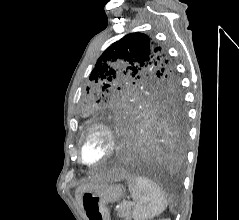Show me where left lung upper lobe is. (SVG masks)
I'll return each instance as SVG.
<instances>
[{"instance_id": "obj_1", "label": "left lung upper lobe", "mask_w": 239, "mask_h": 220, "mask_svg": "<svg viewBox=\"0 0 239 220\" xmlns=\"http://www.w3.org/2000/svg\"><path fill=\"white\" fill-rule=\"evenodd\" d=\"M80 105L85 119L106 112H184L177 70L166 50L143 33H130L97 60Z\"/></svg>"}]
</instances>
